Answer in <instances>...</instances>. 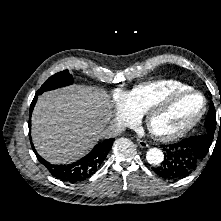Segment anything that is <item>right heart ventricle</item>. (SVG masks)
<instances>
[{
    "label": "right heart ventricle",
    "mask_w": 221,
    "mask_h": 221,
    "mask_svg": "<svg viewBox=\"0 0 221 221\" xmlns=\"http://www.w3.org/2000/svg\"><path fill=\"white\" fill-rule=\"evenodd\" d=\"M191 87L178 80L162 79L144 82L127 91L126 98L129 107L137 115H144L154 101L170 93L190 89Z\"/></svg>",
    "instance_id": "1"
}]
</instances>
